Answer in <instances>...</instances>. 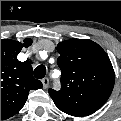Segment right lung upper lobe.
Returning <instances> with one entry per match:
<instances>
[{
  "label": "right lung upper lobe",
  "instance_id": "cb5924a9",
  "mask_svg": "<svg viewBox=\"0 0 121 121\" xmlns=\"http://www.w3.org/2000/svg\"><path fill=\"white\" fill-rule=\"evenodd\" d=\"M31 44V39H25L23 43L1 39V120L22 109L31 89L42 87L41 81L33 78L31 64L17 59L22 47Z\"/></svg>",
  "mask_w": 121,
  "mask_h": 121
}]
</instances>
